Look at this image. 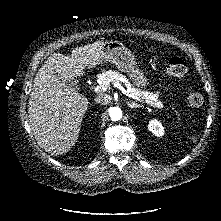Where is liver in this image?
Wrapping results in <instances>:
<instances>
[{
  "mask_svg": "<svg viewBox=\"0 0 221 221\" xmlns=\"http://www.w3.org/2000/svg\"><path fill=\"white\" fill-rule=\"evenodd\" d=\"M105 42L98 41L72 50L71 56L54 53L33 81L28 117L38 145L50 155L67 153L77 142L88 99L61 82L84 75L85 68L101 64Z\"/></svg>",
  "mask_w": 221,
  "mask_h": 221,
  "instance_id": "1",
  "label": "liver"
}]
</instances>
